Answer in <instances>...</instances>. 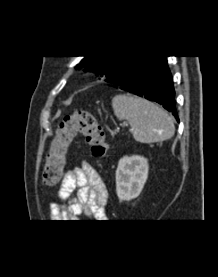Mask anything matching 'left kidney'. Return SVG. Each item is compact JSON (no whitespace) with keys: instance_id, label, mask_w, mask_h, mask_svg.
<instances>
[{"instance_id":"obj_1","label":"left kidney","mask_w":218,"mask_h":277,"mask_svg":"<svg viewBox=\"0 0 218 277\" xmlns=\"http://www.w3.org/2000/svg\"><path fill=\"white\" fill-rule=\"evenodd\" d=\"M148 161L143 156L123 157L116 170V193L120 200L139 196L148 177Z\"/></svg>"}]
</instances>
